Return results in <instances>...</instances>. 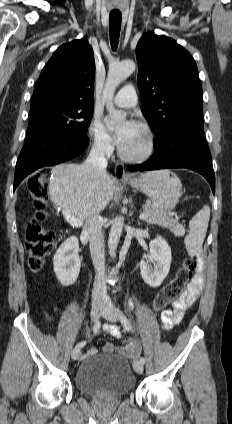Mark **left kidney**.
<instances>
[{
  "mask_svg": "<svg viewBox=\"0 0 232 424\" xmlns=\"http://www.w3.org/2000/svg\"><path fill=\"white\" fill-rule=\"evenodd\" d=\"M150 254L140 262V272L145 283L159 287L167 277L171 265V248L167 242L157 236L149 243ZM151 263L154 264L152 267Z\"/></svg>",
  "mask_w": 232,
  "mask_h": 424,
  "instance_id": "left-kidney-1",
  "label": "left kidney"
}]
</instances>
